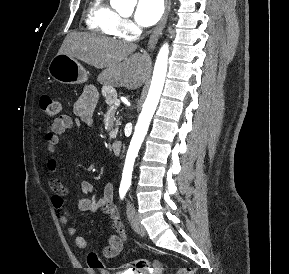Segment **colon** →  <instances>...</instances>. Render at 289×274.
<instances>
[{"instance_id": "obj_1", "label": "colon", "mask_w": 289, "mask_h": 274, "mask_svg": "<svg viewBox=\"0 0 289 274\" xmlns=\"http://www.w3.org/2000/svg\"><path fill=\"white\" fill-rule=\"evenodd\" d=\"M40 108L42 111L47 114L49 117H55L59 114L61 110V105L59 101L51 98L50 96H42L40 98ZM87 262L90 268L101 270L103 274H109L106 270L101 258L95 252H90L87 256ZM128 267L127 271H146L150 270V268L158 269L161 267V263L158 261L150 262L146 259H139L132 263L125 265ZM176 274H195V268L193 267H183L180 268Z\"/></svg>"}]
</instances>
